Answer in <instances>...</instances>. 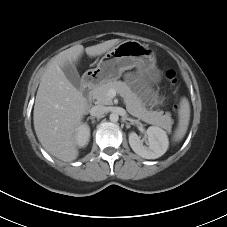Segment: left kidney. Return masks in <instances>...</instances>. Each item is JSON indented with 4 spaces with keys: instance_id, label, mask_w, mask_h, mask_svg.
Returning a JSON list of instances; mask_svg holds the SVG:
<instances>
[{
    "instance_id": "5707ae66",
    "label": "left kidney",
    "mask_w": 227,
    "mask_h": 227,
    "mask_svg": "<svg viewBox=\"0 0 227 227\" xmlns=\"http://www.w3.org/2000/svg\"><path fill=\"white\" fill-rule=\"evenodd\" d=\"M146 133L148 137L147 146L143 145L142 140L135 132L129 134V144L132 150L145 159L161 157L169 146L166 131L156 126H150Z\"/></svg>"
}]
</instances>
